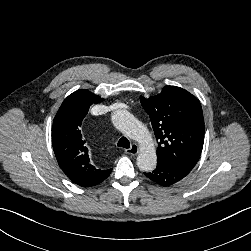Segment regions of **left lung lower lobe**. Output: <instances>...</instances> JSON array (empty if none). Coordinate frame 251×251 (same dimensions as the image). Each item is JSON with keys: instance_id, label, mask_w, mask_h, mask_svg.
Returning <instances> with one entry per match:
<instances>
[{"instance_id": "left-lung-lower-lobe-1", "label": "left lung lower lobe", "mask_w": 251, "mask_h": 251, "mask_svg": "<svg viewBox=\"0 0 251 251\" xmlns=\"http://www.w3.org/2000/svg\"><path fill=\"white\" fill-rule=\"evenodd\" d=\"M189 173L190 171L179 166L165 162H157L156 169L153 172L145 173V175L157 184L167 187L179 182Z\"/></svg>"}]
</instances>
